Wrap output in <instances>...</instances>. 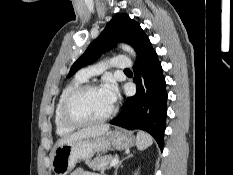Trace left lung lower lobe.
I'll return each mask as SVG.
<instances>
[{"instance_id": "left-lung-lower-lobe-1", "label": "left lung lower lobe", "mask_w": 233, "mask_h": 175, "mask_svg": "<svg viewBox=\"0 0 233 175\" xmlns=\"http://www.w3.org/2000/svg\"><path fill=\"white\" fill-rule=\"evenodd\" d=\"M137 93L126 98L121 112L110 121L129 130L141 129L150 133L163 149L167 116V92L162 66L150 44L137 58Z\"/></svg>"}]
</instances>
